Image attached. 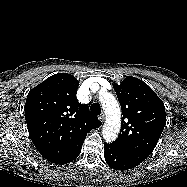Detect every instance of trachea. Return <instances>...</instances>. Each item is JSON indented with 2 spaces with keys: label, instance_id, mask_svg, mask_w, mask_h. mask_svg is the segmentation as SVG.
Returning <instances> with one entry per match:
<instances>
[{
  "label": "trachea",
  "instance_id": "3493384b",
  "mask_svg": "<svg viewBox=\"0 0 187 187\" xmlns=\"http://www.w3.org/2000/svg\"><path fill=\"white\" fill-rule=\"evenodd\" d=\"M90 109H91V112L95 115H100L101 113V107H100V104L98 103H93Z\"/></svg>",
  "mask_w": 187,
  "mask_h": 187
}]
</instances>
